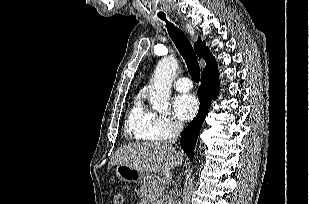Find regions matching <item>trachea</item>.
I'll use <instances>...</instances> for the list:
<instances>
[{"instance_id": "trachea-1", "label": "trachea", "mask_w": 309, "mask_h": 204, "mask_svg": "<svg viewBox=\"0 0 309 204\" xmlns=\"http://www.w3.org/2000/svg\"><path fill=\"white\" fill-rule=\"evenodd\" d=\"M159 18L167 22L165 15H161L159 16ZM166 26L169 36L171 37L172 41L174 42L175 46L177 47L187 64L192 79L195 82H199L200 67L190 41L188 40L186 35L171 22H167Z\"/></svg>"}]
</instances>
